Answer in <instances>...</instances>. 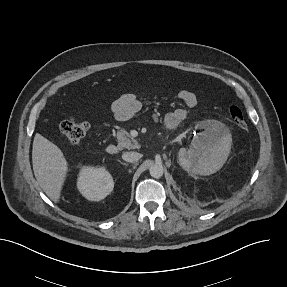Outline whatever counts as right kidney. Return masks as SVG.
<instances>
[{"label": "right kidney", "instance_id": "obj_1", "mask_svg": "<svg viewBox=\"0 0 287 287\" xmlns=\"http://www.w3.org/2000/svg\"><path fill=\"white\" fill-rule=\"evenodd\" d=\"M77 188L86 199L99 201L112 192L114 182L104 167H83L79 173Z\"/></svg>", "mask_w": 287, "mask_h": 287}]
</instances>
